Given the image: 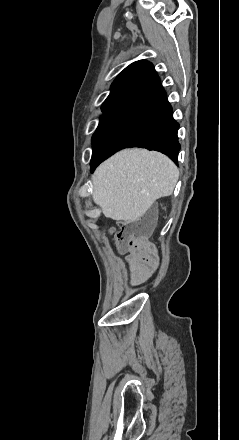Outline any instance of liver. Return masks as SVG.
Masks as SVG:
<instances>
[{
  "label": "liver",
  "mask_w": 239,
  "mask_h": 440,
  "mask_svg": "<svg viewBox=\"0 0 239 440\" xmlns=\"http://www.w3.org/2000/svg\"><path fill=\"white\" fill-rule=\"evenodd\" d=\"M178 178L177 166L159 152L121 150L95 170L93 202L106 218L137 222L158 198L173 194Z\"/></svg>",
  "instance_id": "liver-1"
}]
</instances>
